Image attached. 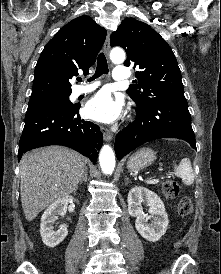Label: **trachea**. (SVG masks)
Instances as JSON below:
<instances>
[{"label": "trachea", "instance_id": "trachea-1", "mask_svg": "<svg viewBox=\"0 0 221 274\" xmlns=\"http://www.w3.org/2000/svg\"><path fill=\"white\" fill-rule=\"evenodd\" d=\"M108 72H109V69H108L106 57L103 53H100L97 58V68H96L95 74L93 75V77L88 79V82L100 77L102 74H108ZM77 80L79 82H82L81 78H78Z\"/></svg>", "mask_w": 221, "mask_h": 274}]
</instances>
